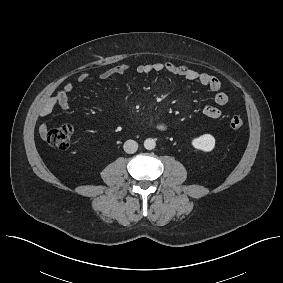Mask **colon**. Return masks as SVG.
I'll list each match as a JSON object with an SVG mask.
<instances>
[{"mask_svg": "<svg viewBox=\"0 0 283 283\" xmlns=\"http://www.w3.org/2000/svg\"><path fill=\"white\" fill-rule=\"evenodd\" d=\"M244 121L240 116H233L230 119V126L233 129H239L243 126ZM73 136V127L69 124H63L49 130L46 134L47 142L50 146L65 150L70 146Z\"/></svg>", "mask_w": 283, "mask_h": 283, "instance_id": "5ec220e1", "label": "colon"}]
</instances>
